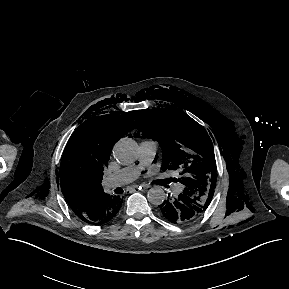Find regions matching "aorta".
Segmentation results:
<instances>
[{
	"instance_id": "762f6f07",
	"label": "aorta",
	"mask_w": 289,
	"mask_h": 289,
	"mask_svg": "<svg viewBox=\"0 0 289 289\" xmlns=\"http://www.w3.org/2000/svg\"><path fill=\"white\" fill-rule=\"evenodd\" d=\"M138 154V144L131 138H121L113 147V156L121 164L134 162ZM147 199L151 204L158 206L165 200V191L160 186H154L148 191Z\"/></svg>"
}]
</instances>
